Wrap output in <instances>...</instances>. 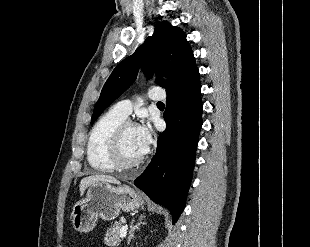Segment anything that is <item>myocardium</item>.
<instances>
[{"label":"myocardium","mask_w":310,"mask_h":247,"mask_svg":"<svg viewBox=\"0 0 310 247\" xmlns=\"http://www.w3.org/2000/svg\"><path fill=\"white\" fill-rule=\"evenodd\" d=\"M129 127H137V125L130 120H124L117 126V128L114 130L111 136L108 156L111 163L114 166V169H120V170L133 169L141 165L144 161L145 158L144 155L132 162H127L123 158L122 141L124 134Z\"/></svg>","instance_id":"myocardium-1"}]
</instances>
